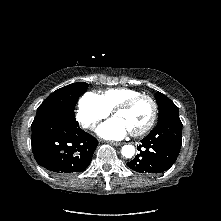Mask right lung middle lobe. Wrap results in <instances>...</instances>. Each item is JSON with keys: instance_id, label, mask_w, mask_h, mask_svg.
<instances>
[{"instance_id": "right-lung-middle-lobe-1", "label": "right lung middle lobe", "mask_w": 221, "mask_h": 221, "mask_svg": "<svg viewBox=\"0 0 221 221\" xmlns=\"http://www.w3.org/2000/svg\"><path fill=\"white\" fill-rule=\"evenodd\" d=\"M88 86L85 82H77L54 91L38 107L31 129L44 120L60 114L68 115L75 121L74 107L79 96L87 90Z\"/></svg>"}]
</instances>
